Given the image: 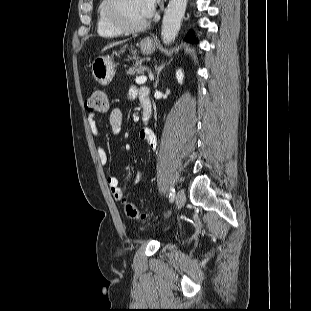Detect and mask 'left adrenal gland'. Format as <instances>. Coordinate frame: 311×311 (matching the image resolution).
<instances>
[{
  "label": "left adrenal gland",
  "instance_id": "obj_1",
  "mask_svg": "<svg viewBox=\"0 0 311 311\" xmlns=\"http://www.w3.org/2000/svg\"><path fill=\"white\" fill-rule=\"evenodd\" d=\"M164 67H165V63L162 64L161 66L155 65V71L157 72V78H156V82H155L154 88H157V85H158V82H159V75H160V72L162 71V69Z\"/></svg>",
  "mask_w": 311,
  "mask_h": 311
}]
</instances>
